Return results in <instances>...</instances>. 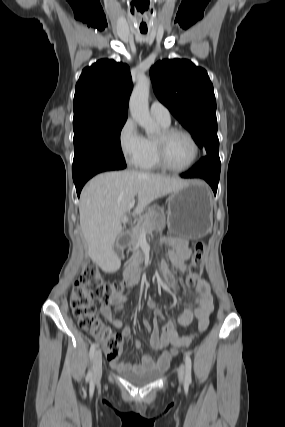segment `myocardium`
I'll return each instance as SVG.
<instances>
[{"instance_id":"1","label":"myocardium","mask_w":285,"mask_h":427,"mask_svg":"<svg viewBox=\"0 0 285 427\" xmlns=\"http://www.w3.org/2000/svg\"><path fill=\"white\" fill-rule=\"evenodd\" d=\"M175 134L185 135L191 141L194 148V153L191 161L184 167H174L167 160V156H166L167 142ZM155 146H156L157 158L160 166L168 171L177 172V173L190 170L196 164L199 157V152H200L199 144L195 139V137L192 135V133L181 127H167L162 129L159 136L155 139Z\"/></svg>"}]
</instances>
